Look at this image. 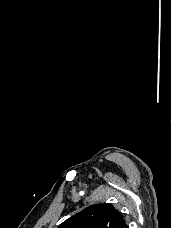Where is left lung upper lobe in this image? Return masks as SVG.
Wrapping results in <instances>:
<instances>
[{
	"instance_id": "obj_1",
	"label": "left lung upper lobe",
	"mask_w": 171,
	"mask_h": 228,
	"mask_svg": "<svg viewBox=\"0 0 171 228\" xmlns=\"http://www.w3.org/2000/svg\"><path fill=\"white\" fill-rule=\"evenodd\" d=\"M123 215L111 204H94L65 220L58 228H123Z\"/></svg>"
}]
</instances>
